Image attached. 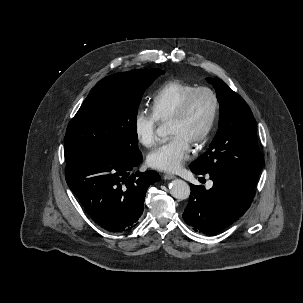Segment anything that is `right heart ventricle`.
<instances>
[{"instance_id": "1", "label": "right heart ventricle", "mask_w": 303, "mask_h": 303, "mask_svg": "<svg viewBox=\"0 0 303 303\" xmlns=\"http://www.w3.org/2000/svg\"><path fill=\"white\" fill-rule=\"evenodd\" d=\"M195 88V85L182 80L164 83L152 97L151 113L158 122L169 121L185 96Z\"/></svg>"}]
</instances>
